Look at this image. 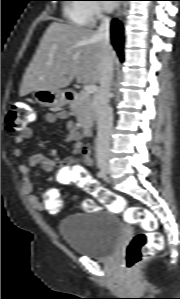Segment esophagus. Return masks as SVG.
<instances>
[{
  "mask_svg": "<svg viewBox=\"0 0 180 299\" xmlns=\"http://www.w3.org/2000/svg\"><path fill=\"white\" fill-rule=\"evenodd\" d=\"M123 14V5H121L118 10H117V13H116V17L117 18H120Z\"/></svg>",
  "mask_w": 180,
  "mask_h": 299,
  "instance_id": "esophagus-1",
  "label": "esophagus"
}]
</instances>
